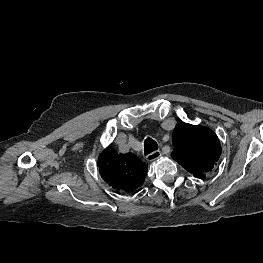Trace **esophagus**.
Wrapping results in <instances>:
<instances>
[{
    "mask_svg": "<svg viewBox=\"0 0 263 263\" xmlns=\"http://www.w3.org/2000/svg\"><path fill=\"white\" fill-rule=\"evenodd\" d=\"M161 155H162L161 151L160 150H156V151L148 154L146 159H147V161L152 162V161L157 160Z\"/></svg>",
    "mask_w": 263,
    "mask_h": 263,
    "instance_id": "1",
    "label": "esophagus"
}]
</instances>
